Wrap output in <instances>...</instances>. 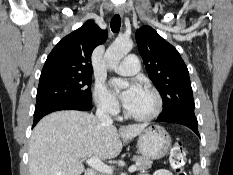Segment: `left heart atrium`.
Here are the masks:
<instances>
[{
  "label": "left heart atrium",
  "mask_w": 233,
  "mask_h": 175,
  "mask_svg": "<svg viewBox=\"0 0 233 175\" xmlns=\"http://www.w3.org/2000/svg\"><path fill=\"white\" fill-rule=\"evenodd\" d=\"M111 83L113 87L122 89L120 97L125 106L129 105L142 90L141 85L136 81L126 83L123 80L114 79Z\"/></svg>",
  "instance_id": "1"
}]
</instances>
